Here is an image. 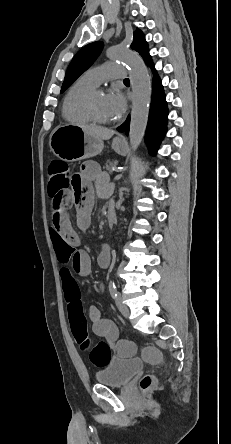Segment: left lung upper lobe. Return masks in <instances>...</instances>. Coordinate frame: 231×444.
Instances as JSON below:
<instances>
[{"label": "left lung upper lobe", "instance_id": "1", "mask_svg": "<svg viewBox=\"0 0 231 444\" xmlns=\"http://www.w3.org/2000/svg\"><path fill=\"white\" fill-rule=\"evenodd\" d=\"M102 48L103 43L101 41H96L87 44L76 53L67 69L61 88V93L64 92L85 70L92 65L94 60L100 54ZM131 48L137 51L144 60L149 56L145 37L139 29L134 32Z\"/></svg>", "mask_w": 231, "mask_h": 444}]
</instances>
